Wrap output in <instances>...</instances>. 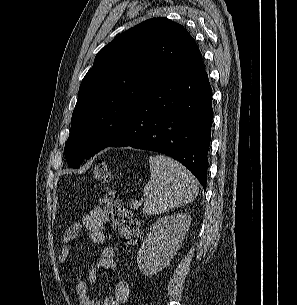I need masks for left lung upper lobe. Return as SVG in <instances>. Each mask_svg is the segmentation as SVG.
Masks as SVG:
<instances>
[{
    "mask_svg": "<svg viewBox=\"0 0 297 305\" xmlns=\"http://www.w3.org/2000/svg\"><path fill=\"white\" fill-rule=\"evenodd\" d=\"M203 68L201 52L180 24L158 17L117 36L81 82L65 144L72 168L105 148L132 109L156 86Z\"/></svg>",
    "mask_w": 297,
    "mask_h": 305,
    "instance_id": "left-lung-upper-lobe-1",
    "label": "left lung upper lobe"
}]
</instances>
